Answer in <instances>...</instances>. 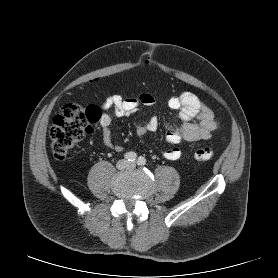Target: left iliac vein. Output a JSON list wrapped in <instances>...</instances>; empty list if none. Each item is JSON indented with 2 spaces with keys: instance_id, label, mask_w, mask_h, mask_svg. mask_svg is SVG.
I'll return each mask as SVG.
<instances>
[{
  "instance_id": "1",
  "label": "left iliac vein",
  "mask_w": 278,
  "mask_h": 278,
  "mask_svg": "<svg viewBox=\"0 0 278 278\" xmlns=\"http://www.w3.org/2000/svg\"><path fill=\"white\" fill-rule=\"evenodd\" d=\"M128 167L129 168H134L135 167V163H129Z\"/></svg>"
}]
</instances>
